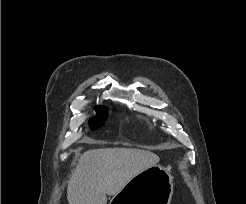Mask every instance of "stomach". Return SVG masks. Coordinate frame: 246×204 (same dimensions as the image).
Listing matches in <instances>:
<instances>
[{
	"label": "stomach",
	"mask_w": 246,
	"mask_h": 204,
	"mask_svg": "<svg viewBox=\"0 0 246 204\" xmlns=\"http://www.w3.org/2000/svg\"><path fill=\"white\" fill-rule=\"evenodd\" d=\"M173 177L160 166L149 167L133 177L110 201V204H170Z\"/></svg>",
	"instance_id": "obj_1"
}]
</instances>
